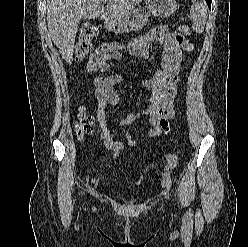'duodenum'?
Returning <instances> with one entry per match:
<instances>
[{
    "label": "duodenum",
    "instance_id": "410a0bca",
    "mask_svg": "<svg viewBox=\"0 0 248 247\" xmlns=\"http://www.w3.org/2000/svg\"><path fill=\"white\" fill-rule=\"evenodd\" d=\"M105 19H108V15L107 14H104L103 15Z\"/></svg>",
    "mask_w": 248,
    "mask_h": 247
}]
</instances>
